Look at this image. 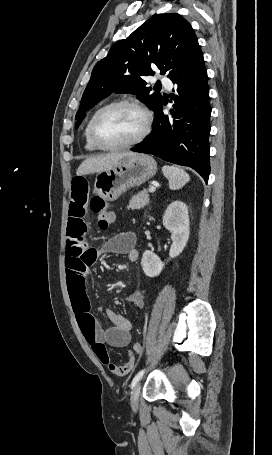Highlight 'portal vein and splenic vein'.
I'll list each match as a JSON object with an SVG mask.
<instances>
[{
	"label": "portal vein and splenic vein",
	"mask_w": 272,
	"mask_h": 455,
	"mask_svg": "<svg viewBox=\"0 0 272 455\" xmlns=\"http://www.w3.org/2000/svg\"><path fill=\"white\" fill-rule=\"evenodd\" d=\"M155 190H156V187H154V186H151V187L149 188V192H150V193L155 192Z\"/></svg>",
	"instance_id": "18ae733b"
}]
</instances>
